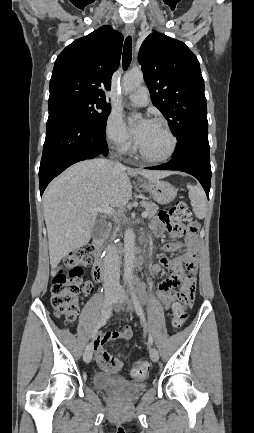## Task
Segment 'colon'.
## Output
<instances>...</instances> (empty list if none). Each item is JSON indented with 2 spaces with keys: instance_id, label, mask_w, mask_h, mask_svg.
<instances>
[{
  "instance_id": "5ec220e1",
  "label": "colon",
  "mask_w": 254,
  "mask_h": 433,
  "mask_svg": "<svg viewBox=\"0 0 254 433\" xmlns=\"http://www.w3.org/2000/svg\"><path fill=\"white\" fill-rule=\"evenodd\" d=\"M158 218L165 224L182 231V233L193 237L196 235L199 224L193 219L192 213L185 201H178L168 211L160 212ZM89 247H82L70 252L65 256L57 270L51 288V303L57 315L62 317L66 323H72L79 311V300L83 293L92 290V284L83 280L84 267L91 261ZM192 300H179L172 309V326L175 329L181 328L188 313L185 305ZM150 365L147 361L141 360L135 363L132 368V376L135 379L147 377Z\"/></svg>"
}]
</instances>
